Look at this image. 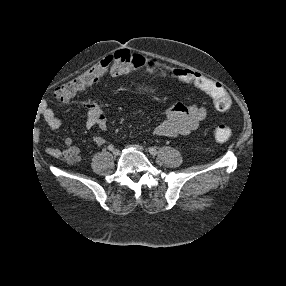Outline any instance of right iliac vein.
I'll use <instances>...</instances> for the list:
<instances>
[{
	"instance_id": "63e3f726",
	"label": "right iliac vein",
	"mask_w": 286,
	"mask_h": 286,
	"mask_svg": "<svg viewBox=\"0 0 286 286\" xmlns=\"http://www.w3.org/2000/svg\"><path fill=\"white\" fill-rule=\"evenodd\" d=\"M112 153L115 157L120 155V151L118 149H114Z\"/></svg>"
}]
</instances>
